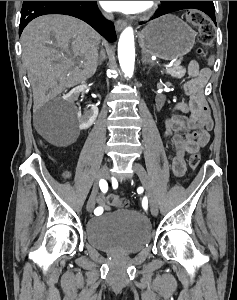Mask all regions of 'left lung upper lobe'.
Returning a JSON list of instances; mask_svg holds the SVG:
<instances>
[{
    "label": "left lung upper lobe",
    "instance_id": "1",
    "mask_svg": "<svg viewBox=\"0 0 237 300\" xmlns=\"http://www.w3.org/2000/svg\"><path fill=\"white\" fill-rule=\"evenodd\" d=\"M169 3H171V1H161V4H162V5H161L160 12H159L158 14H160L161 12H165V11H166L165 6H166L167 4H169ZM158 14H157L155 17H157Z\"/></svg>",
    "mask_w": 237,
    "mask_h": 300
}]
</instances>
